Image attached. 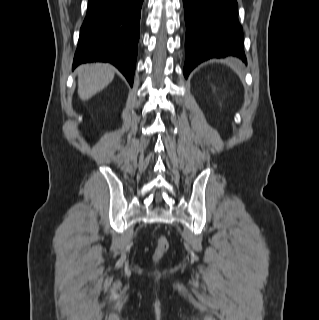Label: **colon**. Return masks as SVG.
I'll return each mask as SVG.
<instances>
[{
    "label": "colon",
    "instance_id": "colon-1",
    "mask_svg": "<svg viewBox=\"0 0 319 320\" xmlns=\"http://www.w3.org/2000/svg\"><path fill=\"white\" fill-rule=\"evenodd\" d=\"M168 246H169V242L167 238L163 235L159 236L157 239V245H156V255L157 256L162 255L164 252L167 251Z\"/></svg>",
    "mask_w": 319,
    "mask_h": 320
}]
</instances>
